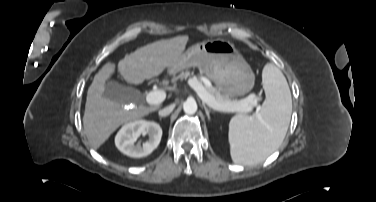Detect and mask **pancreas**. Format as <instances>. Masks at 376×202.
Returning <instances> with one entry per match:
<instances>
[{
	"label": "pancreas",
	"instance_id": "obj_1",
	"mask_svg": "<svg viewBox=\"0 0 376 202\" xmlns=\"http://www.w3.org/2000/svg\"><path fill=\"white\" fill-rule=\"evenodd\" d=\"M188 76H189V73H186L182 75V78H187ZM205 89L208 93H210L215 99L219 101H223V102L236 101V100H231L229 96L223 94L218 88L206 86Z\"/></svg>",
	"mask_w": 376,
	"mask_h": 202
}]
</instances>
